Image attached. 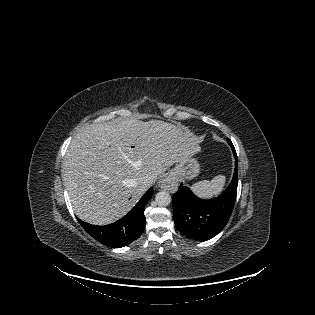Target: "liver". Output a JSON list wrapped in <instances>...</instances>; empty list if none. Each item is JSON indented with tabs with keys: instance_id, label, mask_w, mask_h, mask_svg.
I'll return each instance as SVG.
<instances>
[{
	"instance_id": "6515ba94",
	"label": "liver",
	"mask_w": 315,
	"mask_h": 315,
	"mask_svg": "<svg viewBox=\"0 0 315 315\" xmlns=\"http://www.w3.org/2000/svg\"><path fill=\"white\" fill-rule=\"evenodd\" d=\"M188 129L161 120L127 119L92 125L72 139L62 177L76 215L94 225L127 214L173 164L200 150Z\"/></svg>"
}]
</instances>
